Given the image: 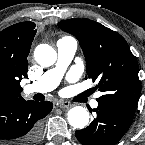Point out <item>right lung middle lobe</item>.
I'll return each mask as SVG.
<instances>
[{"instance_id":"1","label":"right lung middle lobe","mask_w":145,"mask_h":145,"mask_svg":"<svg viewBox=\"0 0 145 145\" xmlns=\"http://www.w3.org/2000/svg\"><path fill=\"white\" fill-rule=\"evenodd\" d=\"M7 90V84L4 78L0 77V99L4 97Z\"/></svg>"}]
</instances>
